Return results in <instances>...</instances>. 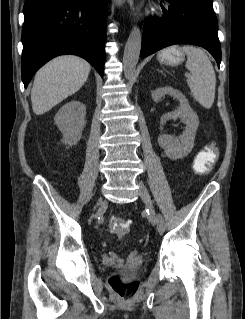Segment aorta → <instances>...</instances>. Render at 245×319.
<instances>
[{"label": "aorta", "mask_w": 245, "mask_h": 319, "mask_svg": "<svg viewBox=\"0 0 245 319\" xmlns=\"http://www.w3.org/2000/svg\"><path fill=\"white\" fill-rule=\"evenodd\" d=\"M131 8L133 7V0H129ZM142 43V35L138 26H133L132 31L127 39L124 55H123V69L124 75L130 79L136 70Z\"/></svg>", "instance_id": "1"}]
</instances>
